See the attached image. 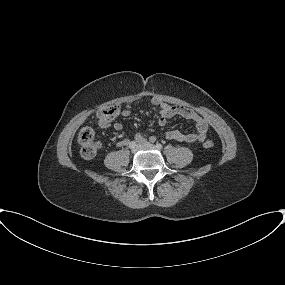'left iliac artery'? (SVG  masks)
<instances>
[{"label":"left iliac artery","mask_w":285,"mask_h":285,"mask_svg":"<svg viewBox=\"0 0 285 285\" xmlns=\"http://www.w3.org/2000/svg\"><path fill=\"white\" fill-rule=\"evenodd\" d=\"M156 148L160 150V149H162V145L160 143H157Z\"/></svg>","instance_id":"44dca946"}]
</instances>
